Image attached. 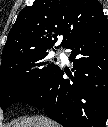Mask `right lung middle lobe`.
I'll return each mask as SVG.
<instances>
[{
	"label": "right lung middle lobe",
	"instance_id": "dd1d6c3e",
	"mask_svg": "<svg viewBox=\"0 0 108 127\" xmlns=\"http://www.w3.org/2000/svg\"><path fill=\"white\" fill-rule=\"evenodd\" d=\"M41 52L14 58L1 65L0 105L6 108L41 88L59 68Z\"/></svg>",
	"mask_w": 108,
	"mask_h": 127
}]
</instances>
